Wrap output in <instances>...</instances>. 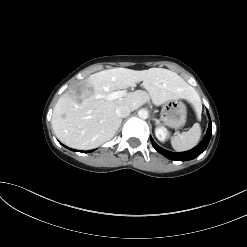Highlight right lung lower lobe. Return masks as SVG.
Listing matches in <instances>:
<instances>
[{
  "instance_id": "right-lung-lower-lobe-1",
  "label": "right lung lower lobe",
  "mask_w": 247,
  "mask_h": 247,
  "mask_svg": "<svg viewBox=\"0 0 247 247\" xmlns=\"http://www.w3.org/2000/svg\"><path fill=\"white\" fill-rule=\"evenodd\" d=\"M73 151H76V150H73ZM86 152H91V151H85V153H86Z\"/></svg>"
}]
</instances>
